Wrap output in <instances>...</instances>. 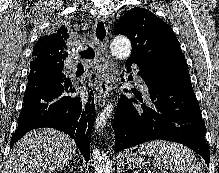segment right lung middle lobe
Listing matches in <instances>:
<instances>
[{"label":"right lung middle lobe","mask_w":219,"mask_h":173,"mask_svg":"<svg viewBox=\"0 0 219 173\" xmlns=\"http://www.w3.org/2000/svg\"><path fill=\"white\" fill-rule=\"evenodd\" d=\"M53 67L62 69L63 66L55 65V66H53Z\"/></svg>","instance_id":"right-lung-middle-lobe-1"}]
</instances>
